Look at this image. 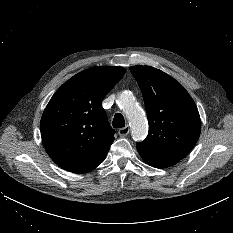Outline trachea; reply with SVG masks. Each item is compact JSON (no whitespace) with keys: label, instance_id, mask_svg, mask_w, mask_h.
Instances as JSON below:
<instances>
[{"label":"trachea","instance_id":"3493384b","mask_svg":"<svg viewBox=\"0 0 233 233\" xmlns=\"http://www.w3.org/2000/svg\"><path fill=\"white\" fill-rule=\"evenodd\" d=\"M114 128H122L125 126V120L121 113H116L112 122Z\"/></svg>","mask_w":233,"mask_h":233}]
</instances>
